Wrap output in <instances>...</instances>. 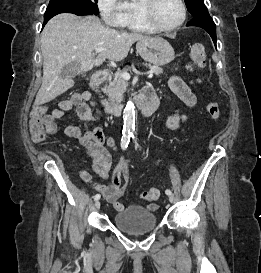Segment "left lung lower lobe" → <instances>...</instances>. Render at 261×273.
I'll use <instances>...</instances> for the list:
<instances>
[{
	"instance_id": "1",
	"label": "left lung lower lobe",
	"mask_w": 261,
	"mask_h": 273,
	"mask_svg": "<svg viewBox=\"0 0 261 273\" xmlns=\"http://www.w3.org/2000/svg\"><path fill=\"white\" fill-rule=\"evenodd\" d=\"M187 26H198L205 29L216 46V26L208 11L194 16L193 19L187 23Z\"/></svg>"
}]
</instances>
